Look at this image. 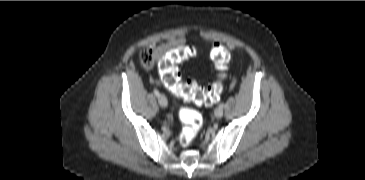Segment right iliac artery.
I'll use <instances>...</instances> for the list:
<instances>
[{"label":"right iliac artery","instance_id":"obj_1","mask_svg":"<svg viewBox=\"0 0 365 180\" xmlns=\"http://www.w3.org/2000/svg\"><path fill=\"white\" fill-rule=\"evenodd\" d=\"M153 92H154V94H155L157 97H159V96H160V93H159V91H158L156 88H154Z\"/></svg>","mask_w":365,"mask_h":180}]
</instances>
